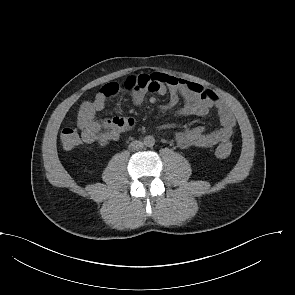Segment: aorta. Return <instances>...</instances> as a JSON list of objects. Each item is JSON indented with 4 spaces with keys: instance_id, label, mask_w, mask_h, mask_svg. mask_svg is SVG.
<instances>
[{
    "instance_id": "aorta-1",
    "label": "aorta",
    "mask_w": 295,
    "mask_h": 295,
    "mask_svg": "<svg viewBox=\"0 0 295 295\" xmlns=\"http://www.w3.org/2000/svg\"><path fill=\"white\" fill-rule=\"evenodd\" d=\"M143 144L147 147H152L155 144V139L153 136H146L144 138Z\"/></svg>"
}]
</instances>
